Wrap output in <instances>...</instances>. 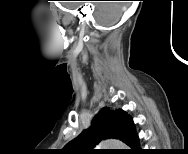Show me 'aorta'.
<instances>
[{
  "instance_id": "aorta-1",
  "label": "aorta",
  "mask_w": 188,
  "mask_h": 154,
  "mask_svg": "<svg viewBox=\"0 0 188 154\" xmlns=\"http://www.w3.org/2000/svg\"><path fill=\"white\" fill-rule=\"evenodd\" d=\"M99 147L103 149H126V145L116 139L103 140L100 142Z\"/></svg>"
}]
</instances>
